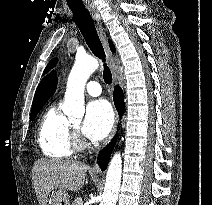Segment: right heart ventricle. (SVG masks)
<instances>
[{"label": "right heart ventricle", "instance_id": "e07e8e85", "mask_svg": "<svg viewBox=\"0 0 212 205\" xmlns=\"http://www.w3.org/2000/svg\"><path fill=\"white\" fill-rule=\"evenodd\" d=\"M38 143L43 154L53 159L69 158L74 152L71 122L54 105L41 118Z\"/></svg>", "mask_w": 212, "mask_h": 205}]
</instances>
